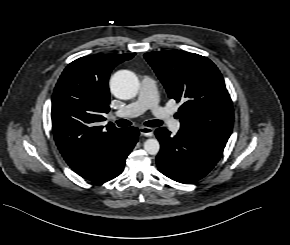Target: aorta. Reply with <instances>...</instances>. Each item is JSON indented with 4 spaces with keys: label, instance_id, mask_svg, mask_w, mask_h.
Returning <instances> with one entry per match:
<instances>
[{
    "label": "aorta",
    "instance_id": "aorta-1",
    "mask_svg": "<svg viewBox=\"0 0 290 245\" xmlns=\"http://www.w3.org/2000/svg\"><path fill=\"white\" fill-rule=\"evenodd\" d=\"M111 92L119 99H131L139 90L137 76L128 70L116 72L110 80ZM144 150L150 155H156L160 150V143L157 139L151 138L144 142Z\"/></svg>",
    "mask_w": 290,
    "mask_h": 245
}]
</instances>
